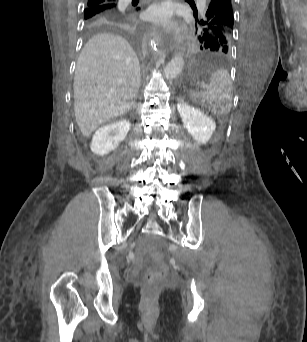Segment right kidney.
<instances>
[{
    "label": "right kidney",
    "mask_w": 307,
    "mask_h": 342,
    "mask_svg": "<svg viewBox=\"0 0 307 342\" xmlns=\"http://www.w3.org/2000/svg\"><path fill=\"white\" fill-rule=\"evenodd\" d=\"M131 124L128 120H116L111 124H106L95 132L91 142V152L97 156H106L115 150L124 138H126Z\"/></svg>",
    "instance_id": "1"
}]
</instances>
